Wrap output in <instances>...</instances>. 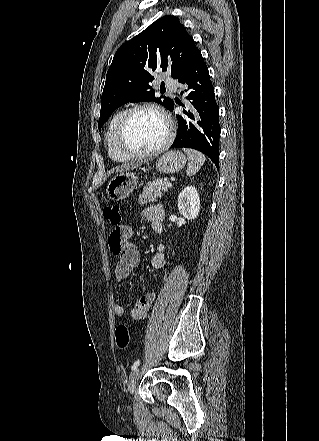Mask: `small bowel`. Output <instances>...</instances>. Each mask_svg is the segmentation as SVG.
Returning a JSON list of instances; mask_svg holds the SVG:
<instances>
[{
  "instance_id": "1",
  "label": "small bowel",
  "mask_w": 319,
  "mask_h": 441,
  "mask_svg": "<svg viewBox=\"0 0 319 441\" xmlns=\"http://www.w3.org/2000/svg\"><path fill=\"white\" fill-rule=\"evenodd\" d=\"M143 217L147 220L153 231L162 235V222L165 217L164 208L157 204L146 208ZM131 231L129 227H120L117 236L110 235L109 246L113 254L118 255L119 259L115 268V276L119 282L125 280L130 272L138 265L140 260V253L137 246L130 240ZM151 263L154 268L161 269L166 264L165 246L160 242L157 246L156 252L153 254ZM155 300V293L150 292L140 297L131 309V317L134 320H143L147 317L148 311ZM125 308L121 304L114 306V313L117 316H122Z\"/></svg>"
}]
</instances>
